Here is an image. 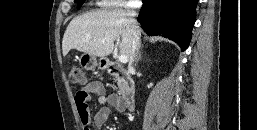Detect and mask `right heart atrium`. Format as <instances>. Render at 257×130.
<instances>
[{"label":"right heart atrium","instance_id":"right-heart-atrium-1","mask_svg":"<svg viewBox=\"0 0 257 130\" xmlns=\"http://www.w3.org/2000/svg\"><path fill=\"white\" fill-rule=\"evenodd\" d=\"M98 3L101 6L111 7V6H126L131 4L132 2H129L128 0H99Z\"/></svg>","mask_w":257,"mask_h":130}]
</instances>
